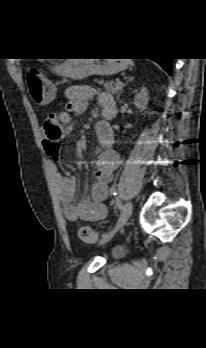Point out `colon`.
Instances as JSON below:
<instances>
[{"label": "colon", "instance_id": "colon-1", "mask_svg": "<svg viewBox=\"0 0 206 348\" xmlns=\"http://www.w3.org/2000/svg\"><path fill=\"white\" fill-rule=\"evenodd\" d=\"M26 83L34 100L44 99L47 91L52 88L51 85L45 82L41 71L38 69H30L27 71ZM98 237L99 235L90 227H81L79 230V238L86 243H94L97 241Z\"/></svg>", "mask_w": 206, "mask_h": 348}]
</instances>
